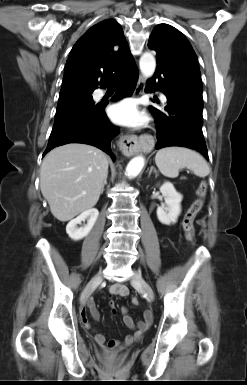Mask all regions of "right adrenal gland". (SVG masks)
<instances>
[{"label": "right adrenal gland", "instance_id": "1", "mask_svg": "<svg viewBox=\"0 0 247 385\" xmlns=\"http://www.w3.org/2000/svg\"><path fill=\"white\" fill-rule=\"evenodd\" d=\"M107 185V176L105 177L104 179V182H103V185H102V189H101V194L103 193L104 191V186Z\"/></svg>", "mask_w": 247, "mask_h": 385}]
</instances>
